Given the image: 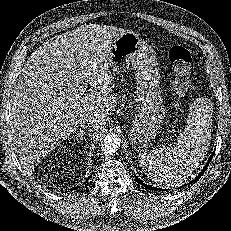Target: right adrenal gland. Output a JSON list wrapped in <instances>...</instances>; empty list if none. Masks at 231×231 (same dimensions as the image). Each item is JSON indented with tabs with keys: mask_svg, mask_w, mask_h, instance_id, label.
<instances>
[{
	"mask_svg": "<svg viewBox=\"0 0 231 231\" xmlns=\"http://www.w3.org/2000/svg\"><path fill=\"white\" fill-rule=\"evenodd\" d=\"M86 133H87V131L86 130H82V129H80V131H78V133L75 135V136H72V138H81L82 139V137L84 136V135H86ZM77 140H79V139H77Z\"/></svg>",
	"mask_w": 231,
	"mask_h": 231,
	"instance_id": "1",
	"label": "right adrenal gland"
}]
</instances>
